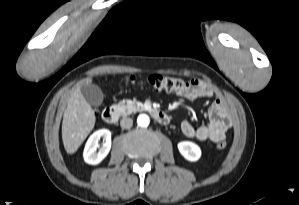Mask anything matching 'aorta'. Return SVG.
Segmentation results:
<instances>
[{
    "mask_svg": "<svg viewBox=\"0 0 299 205\" xmlns=\"http://www.w3.org/2000/svg\"><path fill=\"white\" fill-rule=\"evenodd\" d=\"M150 119L146 114H140L137 118V123L141 127H147L149 125Z\"/></svg>",
    "mask_w": 299,
    "mask_h": 205,
    "instance_id": "762f6f07",
    "label": "aorta"
}]
</instances>
